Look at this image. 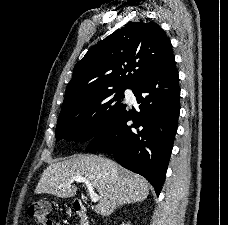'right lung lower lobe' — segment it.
<instances>
[{"label":"right lung lower lobe","instance_id":"1","mask_svg":"<svg viewBox=\"0 0 228 225\" xmlns=\"http://www.w3.org/2000/svg\"><path fill=\"white\" fill-rule=\"evenodd\" d=\"M133 93L139 111L122 110L90 139L86 152L107 151L123 167L144 176L159 195L165 181L180 111L174 55L141 80ZM132 125H127L128 121Z\"/></svg>","mask_w":228,"mask_h":225}]
</instances>
